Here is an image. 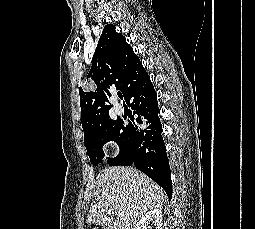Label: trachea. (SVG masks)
I'll list each match as a JSON object with an SVG mask.
<instances>
[{
    "label": "trachea",
    "mask_w": 255,
    "mask_h": 229,
    "mask_svg": "<svg viewBox=\"0 0 255 229\" xmlns=\"http://www.w3.org/2000/svg\"><path fill=\"white\" fill-rule=\"evenodd\" d=\"M117 95H118V97H119L120 99H123V96H122V93H121V92H118Z\"/></svg>",
    "instance_id": "obj_1"
}]
</instances>
